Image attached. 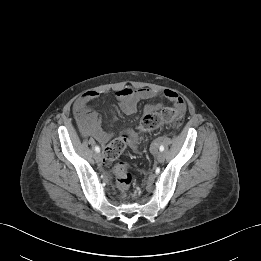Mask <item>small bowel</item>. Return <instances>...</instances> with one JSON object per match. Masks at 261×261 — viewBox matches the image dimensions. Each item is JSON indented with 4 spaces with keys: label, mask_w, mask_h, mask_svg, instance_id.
<instances>
[{
    "label": "small bowel",
    "mask_w": 261,
    "mask_h": 261,
    "mask_svg": "<svg viewBox=\"0 0 261 261\" xmlns=\"http://www.w3.org/2000/svg\"><path fill=\"white\" fill-rule=\"evenodd\" d=\"M98 96L99 93L96 91H88L84 93L75 101L74 109L79 117L83 132L104 144L113 137V133L103 128V120L98 112L87 110L88 103L98 98ZM159 96H162L173 103L177 109L184 110L185 103L183 98L173 90H164L160 93L159 91L150 88H133L130 86H125L120 88L116 93L120 109L127 115H131L136 112L140 101L152 100ZM160 108V104L150 103L145 106L144 112L147 113L151 111H158ZM121 134L136 137V134L129 129L122 130ZM131 146L136 148V142H132Z\"/></svg>",
    "instance_id": "small-bowel-1"
}]
</instances>
